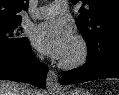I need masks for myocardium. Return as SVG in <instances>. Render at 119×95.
<instances>
[{"label":"myocardium","instance_id":"f54148a6","mask_svg":"<svg viewBox=\"0 0 119 95\" xmlns=\"http://www.w3.org/2000/svg\"><path fill=\"white\" fill-rule=\"evenodd\" d=\"M74 41L77 45V53L70 59H61L59 65L65 69H74L86 63L89 56V46L84 37L76 35Z\"/></svg>","mask_w":119,"mask_h":95}]
</instances>
